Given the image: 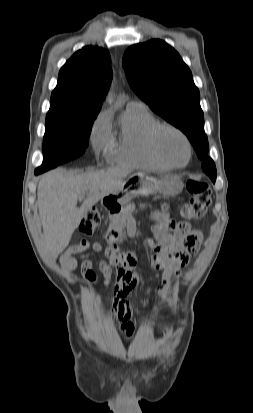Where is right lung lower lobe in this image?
Segmentation results:
<instances>
[{
    "label": "right lung lower lobe",
    "instance_id": "1",
    "mask_svg": "<svg viewBox=\"0 0 253 413\" xmlns=\"http://www.w3.org/2000/svg\"><path fill=\"white\" fill-rule=\"evenodd\" d=\"M40 173H43V172L35 170V174H40Z\"/></svg>",
    "mask_w": 253,
    "mask_h": 413
}]
</instances>
